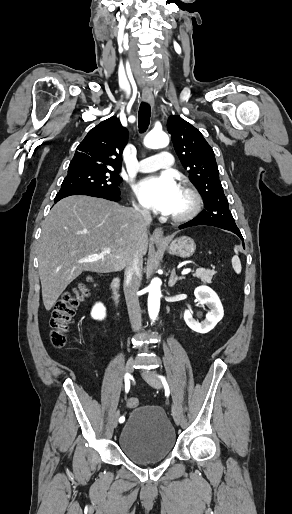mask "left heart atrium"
<instances>
[{
    "instance_id": "1",
    "label": "left heart atrium",
    "mask_w": 292,
    "mask_h": 514,
    "mask_svg": "<svg viewBox=\"0 0 292 514\" xmlns=\"http://www.w3.org/2000/svg\"><path fill=\"white\" fill-rule=\"evenodd\" d=\"M180 192L175 177L168 173L148 177L136 187V194L144 207L159 213H173Z\"/></svg>"
}]
</instances>
